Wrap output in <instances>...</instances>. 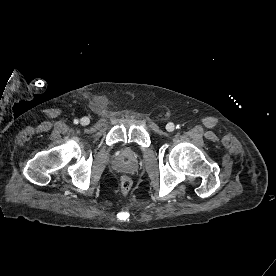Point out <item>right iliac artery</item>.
<instances>
[{
	"label": "right iliac artery",
	"instance_id": "obj_1",
	"mask_svg": "<svg viewBox=\"0 0 276 276\" xmlns=\"http://www.w3.org/2000/svg\"><path fill=\"white\" fill-rule=\"evenodd\" d=\"M74 124H78L79 123V120L78 119H74Z\"/></svg>",
	"mask_w": 276,
	"mask_h": 276
}]
</instances>
